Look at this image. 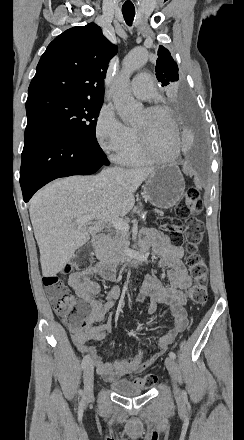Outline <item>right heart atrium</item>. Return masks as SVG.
<instances>
[{"instance_id": "right-heart-atrium-1", "label": "right heart atrium", "mask_w": 244, "mask_h": 440, "mask_svg": "<svg viewBox=\"0 0 244 440\" xmlns=\"http://www.w3.org/2000/svg\"><path fill=\"white\" fill-rule=\"evenodd\" d=\"M95 135L101 148L110 156L135 148L137 138L132 127L124 124L113 107L105 105L100 110L95 126Z\"/></svg>"}]
</instances>
